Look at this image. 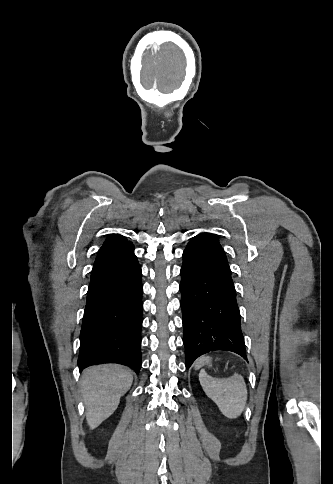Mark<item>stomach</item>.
I'll list each match as a JSON object with an SVG mask.
<instances>
[{
  "instance_id": "0dacf381",
  "label": "stomach",
  "mask_w": 333,
  "mask_h": 484,
  "mask_svg": "<svg viewBox=\"0 0 333 484\" xmlns=\"http://www.w3.org/2000/svg\"><path fill=\"white\" fill-rule=\"evenodd\" d=\"M205 364H209L210 365V360L209 358H201L197 361L196 363V367H200V366H203Z\"/></svg>"
}]
</instances>
